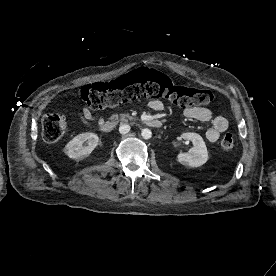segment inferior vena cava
Returning <instances> with one entry per match:
<instances>
[{"mask_svg":"<svg viewBox=\"0 0 276 276\" xmlns=\"http://www.w3.org/2000/svg\"><path fill=\"white\" fill-rule=\"evenodd\" d=\"M130 131V126L128 124H123L119 127V132L121 134H126Z\"/></svg>","mask_w":276,"mask_h":276,"instance_id":"1","label":"inferior vena cava"}]
</instances>
